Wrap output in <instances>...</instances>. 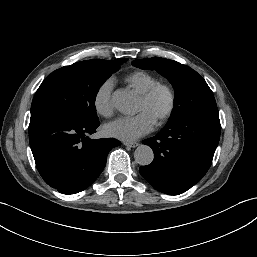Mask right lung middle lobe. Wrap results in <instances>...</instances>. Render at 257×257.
I'll return each instance as SVG.
<instances>
[{
    "label": "right lung middle lobe",
    "mask_w": 257,
    "mask_h": 257,
    "mask_svg": "<svg viewBox=\"0 0 257 257\" xmlns=\"http://www.w3.org/2000/svg\"><path fill=\"white\" fill-rule=\"evenodd\" d=\"M126 61V58L114 61L91 59L57 69L38 88L31 105V116L51 115L72 122L98 120L97 92Z\"/></svg>",
    "instance_id": "right-lung-middle-lobe-1"
}]
</instances>
